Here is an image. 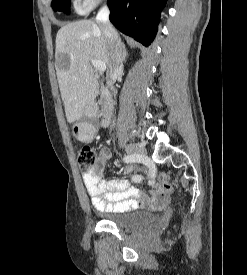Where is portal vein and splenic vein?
<instances>
[{
	"label": "portal vein and splenic vein",
	"instance_id": "portal-vein-and-splenic-vein-1",
	"mask_svg": "<svg viewBox=\"0 0 247 275\" xmlns=\"http://www.w3.org/2000/svg\"><path fill=\"white\" fill-rule=\"evenodd\" d=\"M91 64L99 73H103L106 70V65L103 61L91 59Z\"/></svg>",
	"mask_w": 247,
	"mask_h": 275
}]
</instances>
